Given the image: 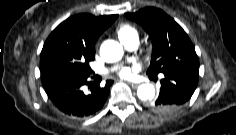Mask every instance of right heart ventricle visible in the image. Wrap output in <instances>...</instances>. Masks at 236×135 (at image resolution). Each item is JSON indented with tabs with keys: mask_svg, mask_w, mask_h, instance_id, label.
<instances>
[{
	"mask_svg": "<svg viewBox=\"0 0 236 135\" xmlns=\"http://www.w3.org/2000/svg\"><path fill=\"white\" fill-rule=\"evenodd\" d=\"M115 32L122 43L132 38H138L137 29L129 23H124L119 25L116 28Z\"/></svg>",
	"mask_w": 236,
	"mask_h": 135,
	"instance_id": "1",
	"label": "right heart ventricle"
}]
</instances>
